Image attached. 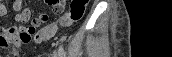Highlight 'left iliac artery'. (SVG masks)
Here are the masks:
<instances>
[{
    "instance_id": "obj_1",
    "label": "left iliac artery",
    "mask_w": 172,
    "mask_h": 57,
    "mask_svg": "<svg viewBox=\"0 0 172 57\" xmlns=\"http://www.w3.org/2000/svg\"><path fill=\"white\" fill-rule=\"evenodd\" d=\"M59 57H65V51L62 45L59 47Z\"/></svg>"
}]
</instances>
